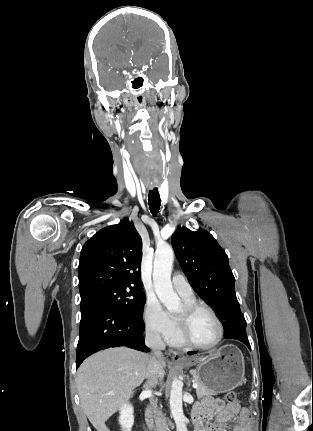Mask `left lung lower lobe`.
<instances>
[{
	"label": "left lung lower lobe",
	"instance_id": "left-lung-lower-lobe-1",
	"mask_svg": "<svg viewBox=\"0 0 313 431\" xmlns=\"http://www.w3.org/2000/svg\"><path fill=\"white\" fill-rule=\"evenodd\" d=\"M226 339H236L238 341L243 342L249 349H251L246 333L244 332H236L225 336ZM195 352H188L189 355L194 354Z\"/></svg>",
	"mask_w": 313,
	"mask_h": 431
}]
</instances>
